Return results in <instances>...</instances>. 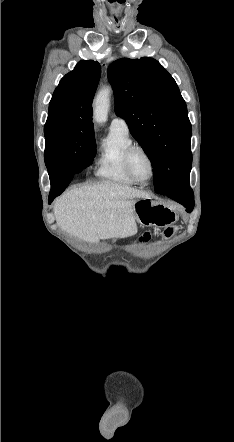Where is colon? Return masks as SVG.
Listing matches in <instances>:
<instances>
[{"mask_svg":"<svg viewBox=\"0 0 234 442\" xmlns=\"http://www.w3.org/2000/svg\"><path fill=\"white\" fill-rule=\"evenodd\" d=\"M173 233V228L169 227L165 230V235L166 236H170ZM140 241L142 242H146L150 239V233L149 232H145L144 234H142L140 236Z\"/></svg>","mask_w":234,"mask_h":442,"instance_id":"1","label":"colon"}]
</instances>
